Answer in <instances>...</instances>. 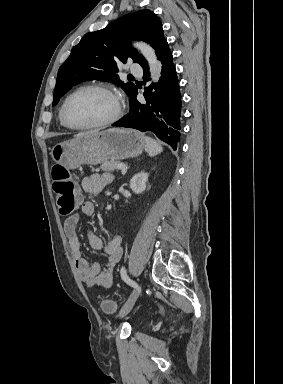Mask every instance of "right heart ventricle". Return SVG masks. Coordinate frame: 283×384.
<instances>
[{
  "label": "right heart ventricle",
  "mask_w": 283,
  "mask_h": 384,
  "mask_svg": "<svg viewBox=\"0 0 283 384\" xmlns=\"http://www.w3.org/2000/svg\"><path fill=\"white\" fill-rule=\"evenodd\" d=\"M58 120H59V124H60L62 127H64L63 124H62V122H61V108H60L59 111H58Z\"/></svg>",
  "instance_id": "1"
}]
</instances>
